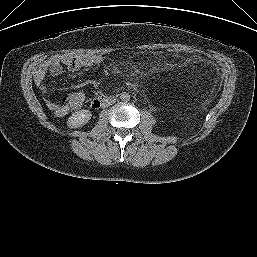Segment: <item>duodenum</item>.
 Returning <instances> with one entry per match:
<instances>
[{"label": "duodenum", "mask_w": 257, "mask_h": 257, "mask_svg": "<svg viewBox=\"0 0 257 257\" xmlns=\"http://www.w3.org/2000/svg\"><path fill=\"white\" fill-rule=\"evenodd\" d=\"M112 100H113L112 97L106 94H100L93 99L91 105H92V108L99 109L102 106L112 102Z\"/></svg>", "instance_id": "1"}]
</instances>
